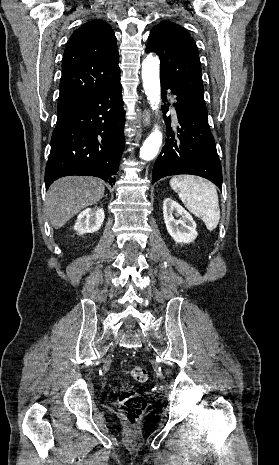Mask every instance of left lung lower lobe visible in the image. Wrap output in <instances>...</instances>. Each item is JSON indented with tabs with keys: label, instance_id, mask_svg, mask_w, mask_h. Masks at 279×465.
<instances>
[{
	"label": "left lung lower lobe",
	"instance_id": "left-lung-lower-lobe-1",
	"mask_svg": "<svg viewBox=\"0 0 279 465\" xmlns=\"http://www.w3.org/2000/svg\"><path fill=\"white\" fill-rule=\"evenodd\" d=\"M161 87L163 101H167L168 88L176 95L174 106L179 125L174 132L171 119H165L167 139L153 167V183L169 175L193 174L212 181L222 190L221 162L208 127L207 114L182 97L168 82L161 80Z\"/></svg>",
	"mask_w": 279,
	"mask_h": 465
}]
</instances>
